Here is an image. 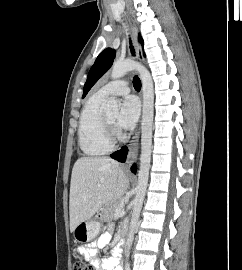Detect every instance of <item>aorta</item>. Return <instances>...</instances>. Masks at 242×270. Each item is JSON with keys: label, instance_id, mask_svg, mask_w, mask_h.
Returning <instances> with one entry per match:
<instances>
[{"label": "aorta", "instance_id": "1", "mask_svg": "<svg viewBox=\"0 0 242 270\" xmlns=\"http://www.w3.org/2000/svg\"><path fill=\"white\" fill-rule=\"evenodd\" d=\"M129 71H137L142 81L143 90V115L141 126V154L140 167L138 171V184L136 187V196L132 217L130 221L129 233L126 241V253L132 246L134 235L136 233L140 212L142 209L149 177V168L151 160L152 145V126L154 117V87L150 72L140 63L126 59L124 61H116L112 66L111 78L119 79ZM106 113L116 114L118 112V102L115 97H111L104 105Z\"/></svg>", "mask_w": 242, "mask_h": 270}]
</instances>
